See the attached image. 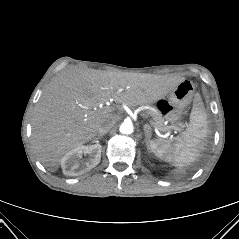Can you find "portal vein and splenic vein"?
<instances>
[{
	"mask_svg": "<svg viewBox=\"0 0 239 239\" xmlns=\"http://www.w3.org/2000/svg\"><path fill=\"white\" fill-rule=\"evenodd\" d=\"M166 135H167V136H169V135H170V133H167Z\"/></svg>",
	"mask_w": 239,
	"mask_h": 239,
	"instance_id": "portal-vein-and-splenic-vein-1",
	"label": "portal vein and splenic vein"
}]
</instances>
